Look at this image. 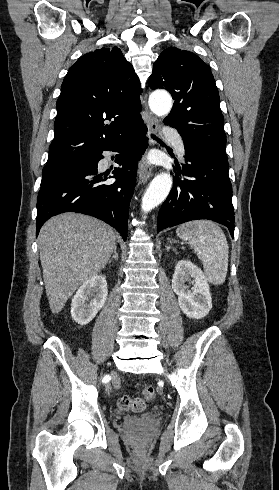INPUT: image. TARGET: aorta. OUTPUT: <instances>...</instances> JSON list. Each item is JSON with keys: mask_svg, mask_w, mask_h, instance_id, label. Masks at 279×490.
Instances as JSON below:
<instances>
[{"mask_svg": "<svg viewBox=\"0 0 279 490\" xmlns=\"http://www.w3.org/2000/svg\"><path fill=\"white\" fill-rule=\"evenodd\" d=\"M151 111L157 116H166L172 108V98L165 91L153 92L149 97ZM172 187V177L168 173L158 174L150 183L142 198V211L148 213L168 196Z\"/></svg>", "mask_w": 279, "mask_h": 490, "instance_id": "aorta-1", "label": "aorta"}]
</instances>
